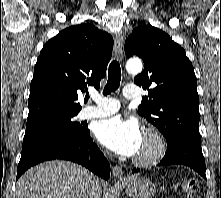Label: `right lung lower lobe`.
Segmentation results:
<instances>
[{"label":"right lung lower lobe","instance_id":"obj_1","mask_svg":"<svg viewBox=\"0 0 221 198\" xmlns=\"http://www.w3.org/2000/svg\"><path fill=\"white\" fill-rule=\"evenodd\" d=\"M53 159L76 162L104 179L110 176V165L87 130L80 136H49L22 147L16 179L30 167Z\"/></svg>","mask_w":221,"mask_h":198}]
</instances>
